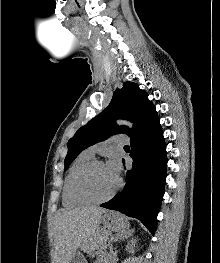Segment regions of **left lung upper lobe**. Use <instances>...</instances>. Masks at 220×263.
I'll return each mask as SVG.
<instances>
[{
  "instance_id": "obj_1",
  "label": "left lung upper lobe",
  "mask_w": 220,
  "mask_h": 263,
  "mask_svg": "<svg viewBox=\"0 0 220 263\" xmlns=\"http://www.w3.org/2000/svg\"><path fill=\"white\" fill-rule=\"evenodd\" d=\"M147 96L145 91L132 82H125L121 89H117L108 107L79 128L68 141L65 170L85 148L115 133L127 134L131 140L146 130L158 118L155 106ZM117 118L133 122L134 128L118 127L115 124Z\"/></svg>"
}]
</instances>
